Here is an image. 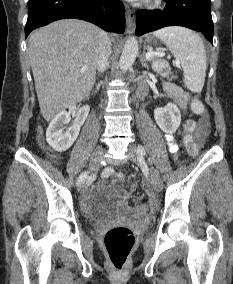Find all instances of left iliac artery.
Wrapping results in <instances>:
<instances>
[{"label": "left iliac artery", "mask_w": 233, "mask_h": 284, "mask_svg": "<svg viewBox=\"0 0 233 284\" xmlns=\"http://www.w3.org/2000/svg\"><path fill=\"white\" fill-rule=\"evenodd\" d=\"M138 148L140 149V151H141L142 153H145V152H144V148H143L142 146H139Z\"/></svg>", "instance_id": "obj_1"}]
</instances>
